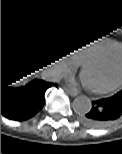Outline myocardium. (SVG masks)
I'll return each instance as SVG.
<instances>
[{
	"instance_id": "obj_1",
	"label": "myocardium",
	"mask_w": 122,
	"mask_h": 154,
	"mask_svg": "<svg viewBox=\"0 0 122 154\" xmlns=\"http://www.w3.org/2000/svg\"><path fill=\"white\" fill-rule=\"evenodd\" d=\"M109 49L110 48H107V49H105L103 51H100V52H98L96 54H93V55L85 58L81 62V67L85 68L88 65L99 61L105 55V53L108 52ZM121 85H122V76L118 80H116L115 82H113V83H111L109 85H105V86H101V87H89V89H90V91L92 93H95V94H105V93H109V92L117 89Z\"/></svg>"
}]
</instances>
